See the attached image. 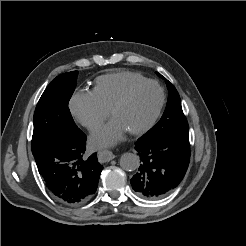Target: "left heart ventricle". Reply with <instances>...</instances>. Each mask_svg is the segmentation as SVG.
Listing matches in <instances>:
<instances>
[{
  "label": "left heart ventricle",
  "instance_id": "left-heart-ventricle-1",
  "mask_svg": "<svg viewBox=\"0 0 246 246\" xmlns=\"http://www.w3.org/2000/svg\"><path fill=\"white\" fill-rule=\"evenodd\" d=\"M160 98L154 85H145L138 89L114 115L126 130L139 128L153 116Z\"/></svg>",
  "mask_w": 246,
  "mask_h": 246
}]
</instances>
